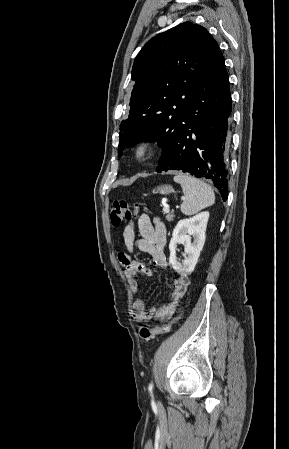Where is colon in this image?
Returning <instances> with one entry per match:
<instances>
[{
    "label": "colon",
    "mask_w": 289,
    "mask_h": 449,
    "mask_svg": "<svg viewBox=\"0 0 289 449\" xmlns=\"http://www.w3.org/2000/svg\"><path fill=\"white\" fill-rule=\"evenodd\" d=\"M138 211V206H130L125 200H116L111 205L110 220L113 227H119L122 223L130 221L134 214ZM183 315V307H181L176 316L168 323L158 327L149 328L141 326L139 336L144 341H149L160 334L168 333L171 328L178 322Z\"/></svg>",
    "instance_id": "1"
}]
</instances>
